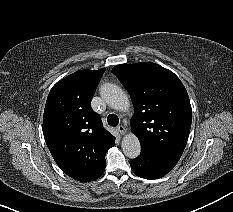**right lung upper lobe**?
Segmentation results:
<instances>
[{
  "label": "right lung upper lobe",
  "mask_w": 233,
  "mask_h": 212,
  "mask_svg": "<svg viewBox=\"0 0 233 212\" xmlns=\"http://www.w3.org/2000/svg\"><path fill=\"white\" fill-rule=\"evenodd\" d=\"M105 69L80 70L57 82L44 110L43 135L58 164L70 177L90 182L101 176L105 154L115 143L91 100Z\"/></svg>",
  "instance_id": "1"
}]
</instances>
